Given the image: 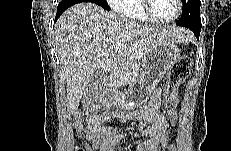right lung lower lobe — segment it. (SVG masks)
<instances>
[{
    "label": "right lung lower lobe",
    "mask_w": 231,
    "mask_h": 151,
    "mask_svg": "<svg viewBox=\"0 0 231 151\" xmlns=\"http://www.w3.org/2000/svg\"><path fill=\"white\" fill-rule=\"evenodd\" d=\"M81 2H88V1H83V0H62L58 7H57V13H56V17H55V22L56 20L60 17V15L70 6L77 4V3H81Z\"/></svg>",
    "instance_id": "1"
}]
</instances>
